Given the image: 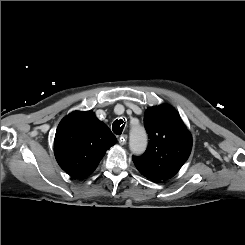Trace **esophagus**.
I'll list each match as a JSON object with an SVG mask.
<instances>
[{
	"label": "esophagus",
	"mask_w": 245,
	"mask_h": 245,
	"mask_svg": "<svg viewBox=\"0 0 245 245\" xmlns=\"http://www.w3.org/2000/svg\"><path fill=\"white\" fill-rule=\"evenodd\" d=\"M127 138H128V136L126 134L121 135L119 140H118L119 144L120 145H125L127 143Z\"/></svg>",
	"instance_id": "obj_1"
}]
</instances>
